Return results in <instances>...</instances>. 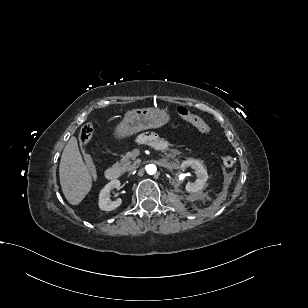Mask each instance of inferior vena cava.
Returning a JSON list of instances; mask_svg holds the SVG:
<instances>
[{
	"label": "inferior vena cava",
	"mask_w": 308,
	"mask_h": 308,
	"mask_svg": "<svg viewBox=\"0 0 308 308\" xmlns=\"http://www.w3.org/2000/svg\"><path fill=\"white\" fill-rule=\"evenodd\" d=\"M129 175H134V168H129Z\"/></svg>",
	"instance_id": "inferior-vena-cava-1"
}]
</instances>
